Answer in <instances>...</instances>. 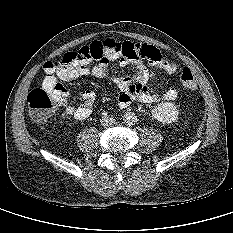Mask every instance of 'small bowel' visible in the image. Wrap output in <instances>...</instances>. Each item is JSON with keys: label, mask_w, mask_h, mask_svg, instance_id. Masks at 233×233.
<instances>
[{"label": "small bowel", "mask_w": 233, "mask_h": 233, "mask_svg": "<svg viewBox=\"0 0 233 233\" xmlns=\"http://www.w3.org/2000/svg\"><path fill=\"white\" fill-rule=\"evenodd\" d=\"M99 43L104 45L103 56L100 59L81 60L69 67L59 69L48 67L47 62L44 65L46 76L42 84L43 88L54 93L66 114L78 120L87 118L92 112L95 93L82 92L80 96L83 103L75 107L68 102L69 92L58 80L68 82L87 75L112 82L118 90L117 99L121 107L128 106L132 101L153 103L161 100L173 101L177 98L178 92L174 87L160 92L149 86V83L157 77L155 72L149 70L155 68L166 73L176 70L175 63L163 56L156 47L129 41L104 40ZM112 60H118L120 66L130 75L111 76L109 63Z\"/></svg>", "instance_id": "small-bowel-1"}]
</instances>
